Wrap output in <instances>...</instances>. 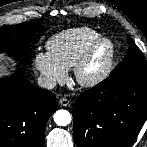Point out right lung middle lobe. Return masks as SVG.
<instances>
[{
    "label": "right lung middle lobe",
    "instance_id": "right-lung-middle-lobe-1",
    "mask_svg": "<svg viewBox=\"0 0 147 147\" xmlns=\"http://www.w3.org/2000/svg\"><path fill=\"white\" fill-rule=\"evenodd\" d=\"M37 22H24L18 25H4L0 28V53L9 50L12 46L13 36H25L31 33Z\"/></svg>",
    "mask_w": 147,
    "mask_h": 147
}]
</instances>
